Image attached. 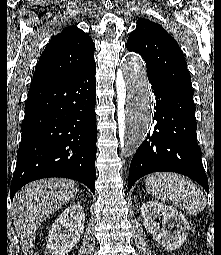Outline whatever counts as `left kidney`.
I'll return each instance as SVG.
<instances>
[{
	"mask_svg": "<svg viewBox=\"0 0 221 255\" xmlns=\"http://www.w3.org/2000/svg\"><path fill=\"white\" fill-rule=\"evenodd\" d=\"M143 225L153 238L168 250L180 248L186 241L189 222L176 208L149 201L142 205ZM162 216V226L156 221Z\"/></svg>",
	"mask_w": 221,
	"mask_h": 255,
	"instance_id": "left-kidney-1",
	"label": "left kidney"
}]
</instances>
